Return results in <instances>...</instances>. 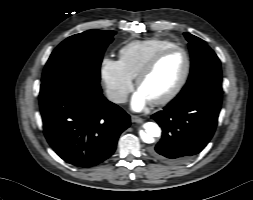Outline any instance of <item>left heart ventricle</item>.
Returning <instances> with one entry per match:
<instances>
[{
    "instance_id": "b2bd125f",
    "label": "left heart ventricle",
    "mask_w": 253,
    "mask_h": 200,
    "mask_svg": "<svg viewBox=\"0 0 253 200\" xmlns=\"http://www.w3.org/2000/svg\"><path fill=\"white\" fill-rule=\"evenodd\" d=\"M186 68L185 56L173 52L164 57L139 85L138 89L151 101L169 94L181 80Z\"/></svg>"
}]
</instances>
